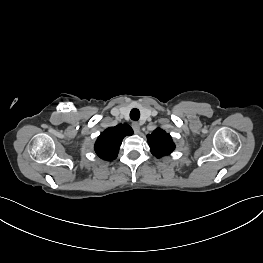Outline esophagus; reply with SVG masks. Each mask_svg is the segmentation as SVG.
I'll return each mask as SVG.
<instances>
[{
  "mask_svg": "<svg viewBox=\"0 0 263 263\" xmlns=\"http://www.w3.org/2000/svg\"><path fill=\"white\" fill-rule=\"evenodd\" d=\"M132 128H133V130H134L135 133H139V131H140V125H139L138 122H133V123H132Z\"/></svg>",
  "mask_w": 263,
  "mask_h": 263,
  "instance_id": "1",
  "label": "esophagus"
}]
</instances>
